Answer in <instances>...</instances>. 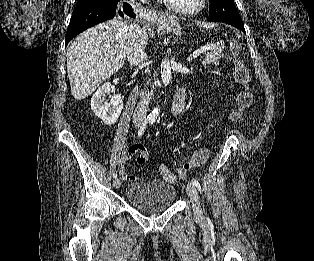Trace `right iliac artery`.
I'll use <instances>...</instances> for the list:
<instances>
[{"mask_svg":"<svg viewBox=\"0 0 314 261\" xmlns=\"http://www.w3.org/2000/svg\"><path fill=\"white\" fill-rule=\"evenodd\" d=\"M150 120V118L145 119V121L142 123V125L140 126L139 130H138V136H141L146 128V125L148 123V121ZM113 178H117V173H113Z\"/></svg>","mask_w":314,"mask_h":261,"instance_id":"obj_1","label":"right iliac artery"}]
</instances>
